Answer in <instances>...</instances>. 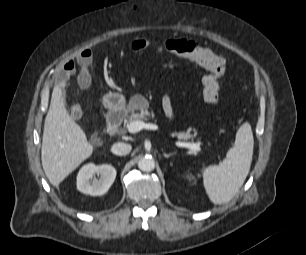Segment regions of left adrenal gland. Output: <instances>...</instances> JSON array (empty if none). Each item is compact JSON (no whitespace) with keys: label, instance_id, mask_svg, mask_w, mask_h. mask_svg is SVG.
<instances>
[{"label":"left adrenal gland","instance_id":"a2214340","mask_svg":"<svg viewBox=\"0 0 306 255\" xmlns=\"http://www.w3.org/2000/svg\"><path fill=\"white\" fill-rule=\"evenodd\" d=\"M174 155H176V152H172V153H169V154L163 153V156H164L165 158H169V157L174 156Z\"/></svg>","mask_w":306,"mask_h":255}]
</instances>
